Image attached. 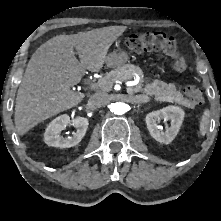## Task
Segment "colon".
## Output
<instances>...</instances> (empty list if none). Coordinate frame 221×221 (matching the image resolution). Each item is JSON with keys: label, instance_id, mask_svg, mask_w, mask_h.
Segmentation results:
<instances>
[{"label": "colon", "instance_id": "colon-1", "mask_svg": "<svg viewBox=\"0 0 221 221\" xmlns=\"http://www.w3.org/2000/svg\"><path fill=\"white\" fill-rule=\"evenodd\" d=\"M128 47L136 53L159 51L171 58V68L177 73H184L188 69L186 58L178 51L174 38L162 32H143L131 35L127 40ZM182 92L191 105L203 103L202 91L193 84L183 86Z\"/></svg>", "mask_w": 221, "mask_h": 221}]
</instances>
